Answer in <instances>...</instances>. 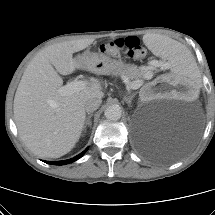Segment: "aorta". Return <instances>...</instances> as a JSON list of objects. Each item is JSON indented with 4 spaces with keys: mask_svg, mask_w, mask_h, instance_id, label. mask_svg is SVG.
<instances>
[{
    "mask_svg": "<svg viewBox=\"0 0 215 215\" xmlns=\"http://www.w3.org/2000/svg\"><path fill=\"white\" fill-rule=\"evenodd\" d=\"M104 115L108 120L117 121L122 116V110L118 105H111L105 109Z\"/></svg>",
    "mask_w": 215,
    "mask_h": 215,
    "instance_id": "1",
    "label": "aorta"
}]
</instances>
